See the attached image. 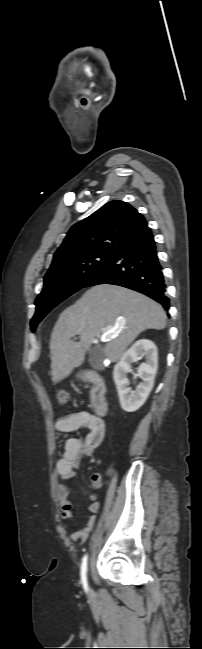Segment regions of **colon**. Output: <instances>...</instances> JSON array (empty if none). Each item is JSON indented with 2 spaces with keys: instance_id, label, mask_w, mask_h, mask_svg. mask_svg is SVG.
Masks as SVG:
<instances>
[{
  "instance_id": "obj_1",
  "label": "colon",
  "mask_w": 202,
  "mask_h": 649,
  "mask_svg": "<svg viewBox=\"0 0 202 649\" xmlns=\"http://www.w3.org/2000/svg\"><path fill=\"white\" fill-rule=\"evenodd\" d=\"M69 396H70L69 391L66 390V389H59V390L56 391V394H55L56 401L60 405L67 404L68 401H69Z\"/></svg>"
}]
</instances>
